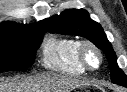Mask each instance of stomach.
Here are the masks:
<instances>
[{
	"label": "stomach",
	"instance_id": "obj_1",
	"mask_svg": "<svg viewBox=\"0 0 127 92\" xmlns=\"http://www.w3.org/2000/svg\"><path fill=\"white\" fill-rule=\"evenodd\" d=\"M77 89H78V90H83V89H86V88H85V87L79 86Z\"/></svg>",
	"mask_w": 127,
	"mask_h": 92
}]
</instances>
